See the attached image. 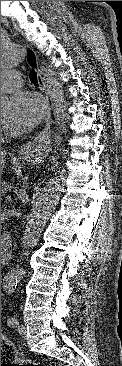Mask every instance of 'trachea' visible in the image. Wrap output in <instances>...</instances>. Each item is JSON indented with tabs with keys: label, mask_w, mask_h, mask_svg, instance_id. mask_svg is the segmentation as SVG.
Here are the masks:
<instances>
[{
	"label": "trachea",
	"mask_w": 122,
	"mask_h": 366,
	"mask_svg": "<svg viewBox=\"0 0 122 366\" xmlns=\"http://www.w3.org/2000/svg\"><path fill=\"white\" fill-rule=\"evenodd\" d=\"M30 80L34 85H38L37 73L35 70L30 71Z\"/></svg>",
	"instance_id": "obj_1"
}]
</instances>
